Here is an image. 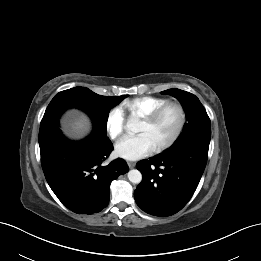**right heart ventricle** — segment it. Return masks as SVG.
Here are the masks:
<instances>
[{"instance_id": "obj_1", "label": "right heart ventricle", "mask_w": 261, "mask_h": 261, "mask_svg": "<svg viewBox=\"0 0 261 261\" xmlns=\"http://www.w3.org/2000/svg\"><path fill=\"white\" fill-rule=\"evenodd\" d=\"M166 102L168 100L163 97L142 96L124 101L121 109L129 118L140 119Z\"/></svg>"}]
</instances>
